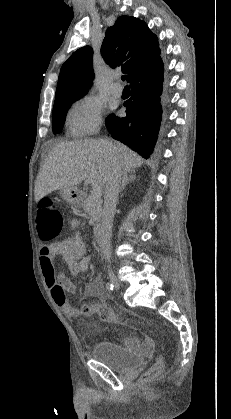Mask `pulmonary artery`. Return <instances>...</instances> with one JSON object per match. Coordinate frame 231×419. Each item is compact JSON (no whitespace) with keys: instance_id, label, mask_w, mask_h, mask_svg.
Masks as SVG:
<instances>
[{"instance_id":"obj_1","label":"pulmonary artery","mask_w":231,"mask_h":419,"mask_svg":"<svg viewBox=\"0 0 231 419\" xmlns=\"http://www.w3.org/2000/svg\"><path fill=\"white\" fill-rule=\"evenodd\" d=\"M111 93L113 96L115 97H120L123 93V88L122 86L118 83L115 82L112 86H111Z\"/></svg>"}]
</instances>
